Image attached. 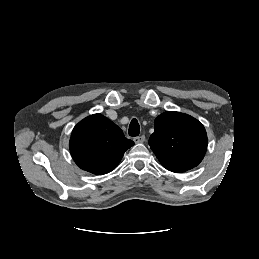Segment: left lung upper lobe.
<instances>
[{
  "label": "left lung upper lobe",
  "instance_id": "5c2ea615",
  "mask_svg": "<svg viewBox=\"0 0 259 259\" xmlns=\"http://www.w3.org/2000/svg\"><path fill=\"white\" fill-rule=\"evenodd\" d=\"M154 127L149 145L164 167L191 169L202 161L208 140L197 119L167 111L155 119Z\"/></svg>",
  "mask_w": 259,
  "mask_h": 259
}]
</instances>
